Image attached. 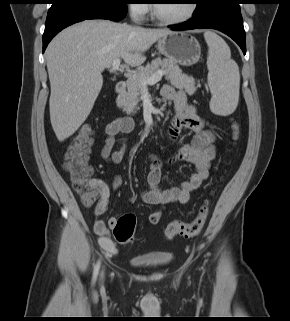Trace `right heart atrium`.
<instances>
[{"label":"right heart atrium","instance_id":"1","mask_svg":"<svg viewBox=\"0 0 290 321\" xmlns=\"http://www.w3.org/2000/svg\"><path fill=\"white\" fill-rule=\"evenodd\" d=\"M129 12L137 19H142L148 12L146 0H132L128 5Z\"/></svg>","mask_w":290,"mask_h":321}]
</instances>
